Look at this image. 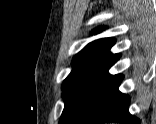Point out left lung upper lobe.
Returning a JSON list of instances; mask_svg holds the SVG:
<instances>
[{"label":"left lung upper lobe","instance_id":"1","mask_svg":"<svg viewBox=\"0 0 156 124\" xmlns=\"http://www.w3.org/2000/svg\"><path fill=\"white\" fill-rule=\"evenodd\" d=\"M103 29L99 27L93 33ZM114 43L113 38L99 39L74 56L73 69L62 84L65 106L59 124H78L112 77L108 70L120 57L110 53Z\"/></svg>","mask_w":156,"mask_h":124}]
</instances>
